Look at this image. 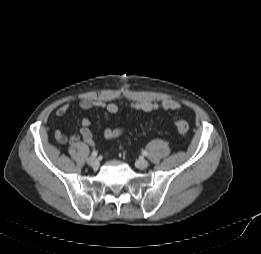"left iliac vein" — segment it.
<instances>
[{"instance_id":"left-iliac-vein-1","label":"left iliac vein","mask_w":261,"mask_h":254,"mask_svg":"<svg viewBox=\"0 0 261 254\" xmlns=\"http://www.w3.org/2000/svg\"><path fill=\"white\" fill-rule=\"evenodd\" d=\"M149 163L147 160H145L144 158H139L137 161H136V166L137 168L139 169H146L148 167Z\"/></svg>"}]
</instances>
